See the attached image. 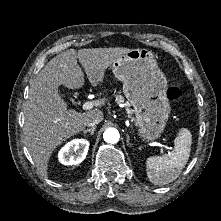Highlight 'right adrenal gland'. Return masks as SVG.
Masks as SVG:
<instances>
[{"instance_id": "2a0ac1e0", "label": "right adrenal gland", "mask_w": 221, "mask_h": 221, "mask_svg": "<svg viewBox=\"0 0 221 221\" xmlns=\"http://www.w3.org/2000/svg\"><path fill=\"white\" fill-rule=\"evenodd\" d=\"M95 129H96V127H92V128H90V129L84 130L83 133H84V134L90 133L91 135H93Z\"/></svg>"}]
</instances>
